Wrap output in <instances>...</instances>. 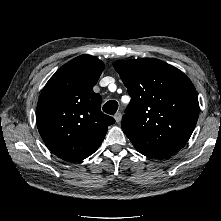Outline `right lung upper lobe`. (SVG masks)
<instances>
[{
  "label": "right lung upper lobe",
  "instance_id": "right-lung-upper-lobe-1",
  "mask_svg": "<svg viewBox=\"0 0 221 221\" xmlns=\"http://www.w3.org/2000/svg\"><path fill=\"white\" fill-rule=\"evenodd\" d=\"M104 64L91 55L78 56L56 71L43 88L36 123L46 146L59 158L76 162L101 145L114 118L101 112L94 93Z\"/></svg>",
  "mask_w": 221,
  "mask_h": 221
}]
</instances>
